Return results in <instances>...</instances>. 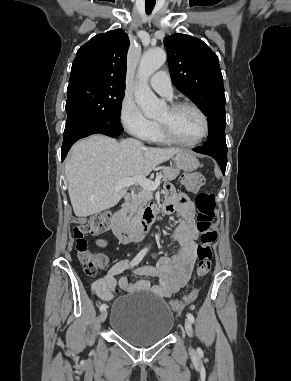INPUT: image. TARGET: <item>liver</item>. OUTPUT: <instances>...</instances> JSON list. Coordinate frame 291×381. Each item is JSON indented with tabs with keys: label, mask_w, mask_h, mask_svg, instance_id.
Returning a JSON list of instances; mask_svg holds the SVG:
<instances>
[{
	"label": "liver",
	"mask_w": 291,
	"mask_h": 381,
	"mask_svg": "<svg viewBox=\"0 0 291 381\" xmlns=\"http://www.w3.org/2000/svg\"><path fill=\"white\" fill-rule=\"evenodd\" d=\"M181 149L145 147L135 139L118 142L104 135L78 141L65 164L68 192L77 217L114 207L127 190L115 189L124 178L146 177Z\"/></svg>",
	"instance_id": "6515ba94"
}]
</instances>
